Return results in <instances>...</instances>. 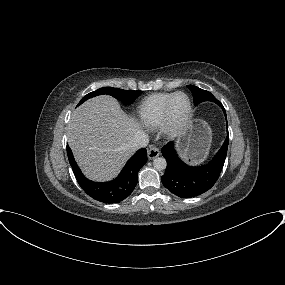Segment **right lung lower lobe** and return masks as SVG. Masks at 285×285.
Here are the masks:
<instances>
[{"label": "right lung lower lobe", "instance_id": "right-lung-lower-lobe-1", "mask_svg": "<svg viewBox=\"0 0 285 285\" xmlns=\"http://www.w3.org/2000/svg\"><path fill=\"white\" fill-rule=\"evenodd\" d=\"M69 163L80 187L93 199L103 203H118L127 198L137 185L138 171L146 164V149H140L128 160L119 176L105 183L88 180L77 166L72 151L67 146Z\"/></svg>", "mask_w": 285, "mask_h": 285}]
</instances>
